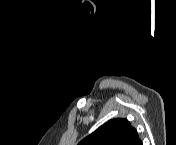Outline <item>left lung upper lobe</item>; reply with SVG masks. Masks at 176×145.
<instances>
[{
  "label": "left lung upper lobe",
  "mask_w": 176,
  "mask_h": 145,
  "mask_svg": "<svg viewBox=\"0 0 176 145\" xmlns=\"http://www.w3.org/2000/svg\"><path fill=\"white\" fill-rule=\"evenodd\" d=\"M79 145H142L127 119H112L84 138Z\"/></svg>",
  "instance_id": "left-lung-upper-lobe-1"
}]
</instances>
